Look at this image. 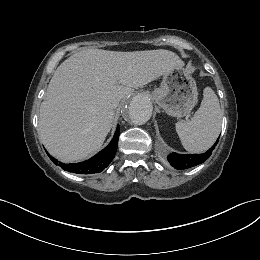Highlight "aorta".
Instances as JSON below:
<instances>
[{
	"label": "aorta",
	"instance_id": "aorta-1",
	"mask_svg": "<svg viewBox=\"0 0 260 260\" xmlns=\"http://www.w3.org/2000/svg\"><path fill=\"white\" fill-rule=\"evenodd\" d=\"M152 103L147 96H135L128 106L129 122L133 125L145 124L152 115Z\"/></svg>",
	"mask_w": 260,
	"mask_h": 260
}]
</instances>
